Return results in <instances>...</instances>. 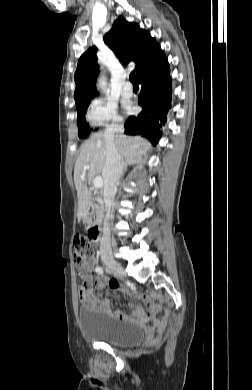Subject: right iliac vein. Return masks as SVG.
Returning a JSON list of instances; mask_svg holds the SVG:
<instances>
[{"label":"right iliac vein","instance_id":"1","mask_svg":"<svg viewBox=\"0 0 252 390\" xmlns=\"http://www.w3.org/2000/svg\"><path fill=\"white\" fill-rule=\"evenodd\" d=\"M103 262L105 263V265L109 270H112L119 274H124V268L114 258L105 256L103 257Z\"/></svg>","mask_w":252,"mask_h":390}]
</instances>
